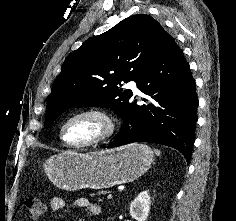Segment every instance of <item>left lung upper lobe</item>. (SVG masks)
Returning a JSON list of instances; mask_svg holds the SVG:
<instances>
[{
  "label": "left lung upper lobe",
  "mask_w": 236,
  "mask_h": 221,
  "mask_svg": "<svg viewBox=\"0 0 236 221\" xmlns=\"http://www.w3.org/2000/svg\"><path fill=\"white\" fill-rule=\"evenodd\" d=\"M166 34L154 18L137 14L86 40L66 57L54 81L45 128L73 106L109 107L122 118L133 93L119 86L137 80Z\"/></svg>",
  "instance_id": "left-lung-upper-lobe-1"
}]
</instances>
